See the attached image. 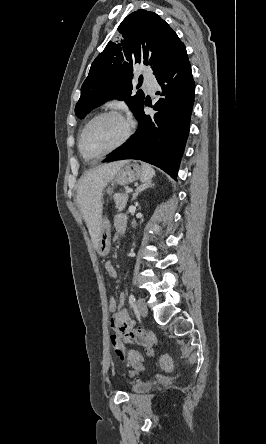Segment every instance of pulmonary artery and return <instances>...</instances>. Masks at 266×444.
<instances>
[{
  "label": "pulmonary artery",
  "mask_w": 266,
  "mask_h": 444,
  "mask_svg": "<svg viewBox=\"0 0 266 444\" xmlns=\"http://www.w3.org/2000/svg\"><path fill=\"white\" fill-rule=\"evenodd\" d=\"M143 81H144V84H145L147 90L150 93H153L156 89V86H157L156 79L153 76H151L150 74L144 73L143 74Z\"/></svg>",
  "instance_id": "e3ab8cb5"
}]
</instances>
